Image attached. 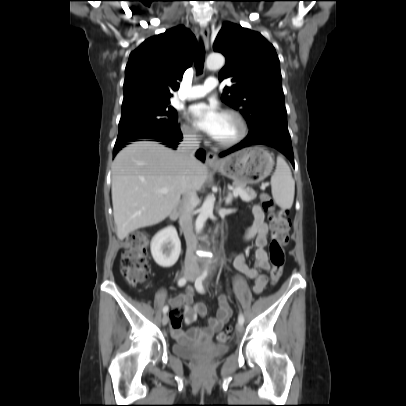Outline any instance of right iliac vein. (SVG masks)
Returning a JSON list of instances; mask_svg holds the SVG:
<instances>
[{
    "mask_svg": "<svg viewBox=\"0 0 406 406\" xmlns=\"http://www.w3.org/2000/svg\"><path fill=\"white\" fill-rule=\"evenodd\" d=\"M193 270L191 269V268H186L185 269V272H184V275L186 276V277H192L193 275ZM167 323H168V316L167 315H164L163 316V318H162V324L163 325H167Z\"/></svg>",
    "mask_w": 406,
    "mask_h": 406,
    "instance_id": "63e3f726",
    "label": "right iliac vein"
}]
</instances>
